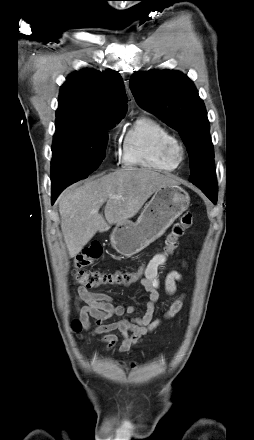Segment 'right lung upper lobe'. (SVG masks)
I'll use <instances>...</instances> for the list:
<instances>
[{"label": "right lung upper lobe", "mask_w": 254, "mask_h": 440, "mask_svg": "<svg viewBox=\"0 0 254 440\" xmlns=\"http://www.w3.org/2000/svg\"><path fill=\"white\" fill-rule=\"evenodd\" d=\"M126 102L123 80L117 72L79 71L61 86L56 118L119 121L127 110Z\"/></svg>", "instance_id": "right-lung-upper-lobe-1"}]
</instances>
